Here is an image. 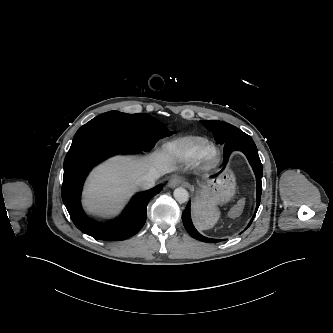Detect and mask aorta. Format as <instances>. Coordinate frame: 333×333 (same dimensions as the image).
<instances>
[{
	"mask_svg": "<svg viewBox=\"0 0 333 333\" xmlns=\"http://www.w3.org/2000/svg\"><path fill=\"white\" fill-rule=\"evenodd\" d=\"M173 196L175 200L179 203H185L188 201L189 194L187 190L183 187H178L174 190Z\"/></svg>",
	"mask_w": 333,
	"mask_h": 333,
	"instance_id": "1",
	"label": "aorta"
}]
</instances>
